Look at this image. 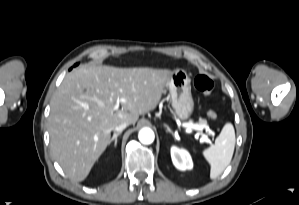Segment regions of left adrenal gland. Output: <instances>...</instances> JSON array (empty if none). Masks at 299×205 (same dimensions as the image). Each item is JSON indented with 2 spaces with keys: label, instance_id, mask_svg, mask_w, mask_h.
<instances>
[{
  "label": "left adrenal gland",
  "instance_id": "obj_1",
  "mask_svg": "<svg viewBox=\"0 0 299 205\" xmlns=\"http://www.w3.org/2000/svg\"><path fill=\"white\" fill-rule=\"evenodd\" d=\"M164 126L167 128V132H169V133H171L173 136H175L174 133H173V131L169 128L168 125L164 124Z\"/></svg>",
  "mask_w": 299,
  "mask_h": 205
}]
</instances>
